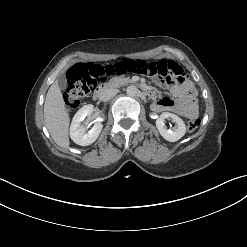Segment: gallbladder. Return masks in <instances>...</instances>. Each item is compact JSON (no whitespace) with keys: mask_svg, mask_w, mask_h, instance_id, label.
Wrapping results in <instances>:
<instances>
[{"mask_svg":"<svg viewBox=\"0 0 247 247\" xmlns=\"http://www.w3.org/2000/svg\"><path fill=\"white\" fill-rule=\"evenodd\" d=\"M60 89H65L67 86V80L64 76H60L57 80Z\"/></svg>","mask_w":247,"mask_h":247,"instance_id":"obj_1","label":"gallbladder"}]
</instances>
